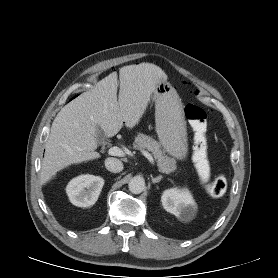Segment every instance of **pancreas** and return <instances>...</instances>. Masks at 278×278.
Listing matches in <instances>:
<instances>
[{"mask_svg":"<svg viewBox=\"0 0 278 278\" xmlns=\"http://www.w3.org/2000/svg\"><path fill=\"white\" fill-rule=\"evenodd\" d=\"M133 148L150 151L157 160V166L162 173L170 174L177 169L175 159L168 157L161 148V145L151 136L138 133L135 137Z\"/></svg>","mask_w":278,"mask_h":278,"instance_id":"obj_1","label":"pancreas"}]
</instances>
